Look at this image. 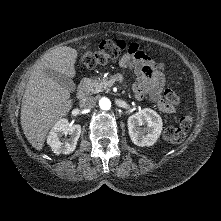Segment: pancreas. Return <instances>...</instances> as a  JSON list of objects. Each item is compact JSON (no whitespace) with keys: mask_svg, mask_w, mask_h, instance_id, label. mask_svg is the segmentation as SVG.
I'll return each mask as SVG.
<instances>
[{"mask_svg":"<svg viewBox=\"0 0 221 221\" xmlns=\"http://www.w3.org/2000/svg\"><path fill=\"white\" fill-rule=\"evenodd\" d=\"M115 78L114 77H105V78H98L93 80L88 88V91L91 93H99L104 90H109V88L114 84Z\"/></svg>","mask_w":221,"mask_h":221,"instance_id":"obj_1","label":"pancreas"}]
</instances>
